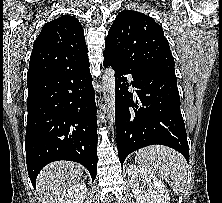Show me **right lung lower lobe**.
<instances>
[{
    "instance_id": "98d812e1",
    "label": "right lung lower lobe",
    "mask_w": 222,
    "mask_h": 203,
    "mask_svg": "<svg viewBox=\"0 0 222 203\" xmlns=\"http://www.w3.org/2000/svg\"><path fill=\"white\" fill-rule=\"evenodd\" d=\"M26 162L33 186L39 171L57 160L97 172L95 92L89 66L27 80Z\"/></svg>"
}]
</instances>
